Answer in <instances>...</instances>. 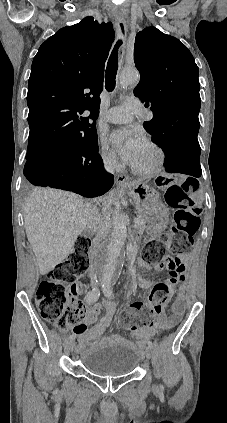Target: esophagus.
Listing matches in <instances>:
<instances>
[{
  "mask_svg": "<svg viewBox=\"0 0 227 423\" xmlns=\"http://www.w3.org/2000/svg\"><path fill=\"white\" fill-rule=\"evenodd\" d=\"M115 25H116L117 35L122 40H125L127 36L126 21L123 19L116 20ZM116 181H117V184L119 185V184L128 183L131 181V179L124 174H119L116 178Z\"/></svg>",
  "mask_w": 227,
  "mask_h": 423,
  "instance_id": "obj_1",
  "label": "esophagus"
}]
</instances>
